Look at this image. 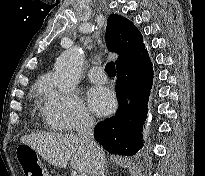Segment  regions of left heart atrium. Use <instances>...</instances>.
<instances>
[{
  "label": "left heart atrium",
  "instance_id": "1",
  "mask_svg": "<svg viewBox=\"0 0 205 176\" xmlns=\"http://www.w3.org/2000/svg\"><path fill=\"white\" fill-rule=\"evenodd\" d=\"M88 102L91 109L98 115H106L115 107V98L110 90L104 87H94L88 92Z\"/></svg>",
  "mask_w": 205,
  "mask_h": 176
}]
</instances>
